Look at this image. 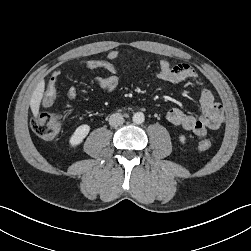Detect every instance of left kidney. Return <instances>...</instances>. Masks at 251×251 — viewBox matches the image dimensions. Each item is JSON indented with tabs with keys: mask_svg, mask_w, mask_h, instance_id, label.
I'll return each instance as SVG.
<instances>
[{
	"mask_svg": "<svg viewBox=\"0 0 251 251\" xmlns=\"http://www.w3.org/2000/svg\"><path fill=\"white\" fill-rule=\"evenodd\" d=\"M179 141H180L182 144H185V142H186L185 136H184V135H180V136H179Z\"/></svg>",
	"mask_w": 251,
	"mask_h": 251,
	"instance_id": "left-kidney-1",
	"label": "left kidney"
}]
</instances>
